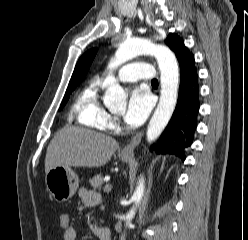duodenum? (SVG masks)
<instances>
[{"mask_svg":"<svg viewBox=\"0 0 248 240\" xmlns=\"http://www.w3.org/2000/svg\"><path fill=\"white\" fill-rule=\"evenodd\" d=\"M96 233L100 240H112L111 232L106 228H99Z\"/></svg>","mask_w":248,"mask_h":240,"instance_id":"410a0bca","label":"duodenum"}]
</instances>
